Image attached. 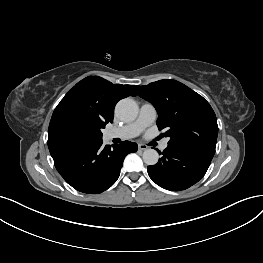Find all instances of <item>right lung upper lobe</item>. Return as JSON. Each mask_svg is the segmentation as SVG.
Returning <instances> with one entry per match:
<instances>
[{
    "label": "right lung upper lobe",
    "instance_id": "cb5924a9",
    "mask_svg": "<svg viewBox=\"0 0 263 263\" xmlns=\"http://www.w3.org/2000/svg\"><path fill=\"white\" fill-rule=\"evenodd\" d=\"M136 96L131 85L112 84L98 77L89 76L78 82L55 108L48 129L50 153L87 144L69 129L76 119H90L107 124L113 121L116 103L125 97Z\"/></svg>",
    "mask_w": 263,
    "mask_h": 263
}]
</instances>
